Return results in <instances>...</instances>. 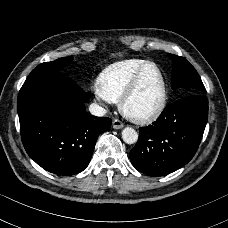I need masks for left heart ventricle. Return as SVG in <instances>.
<instances>
[{"label": "left heart ventricle", "mask_w": 228, "mask_h": 228, "mask_svg": "<svg viewBox=\"0 0 228 228\" xmlns=\"http://www.w3.org/2000/svg\"><path fill=\"white\" fill-rule=\"evenodd\" d=\"M162 100V81L159 72L150 68L145 73L136 95L129 102V110L138 115L155 111Z\"/></svg>", "instance_id": "obj_1"}]
</instances>
